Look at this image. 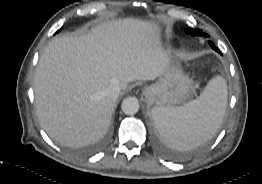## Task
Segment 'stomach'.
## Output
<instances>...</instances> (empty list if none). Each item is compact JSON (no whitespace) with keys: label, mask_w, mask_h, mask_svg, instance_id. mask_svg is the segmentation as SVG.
I'll list each match as a JSON object with an SVG mask.
<instances>
[{"label":"stomach","mask_w":262,"mask_h":184,"mask_svg":"<svg viewBox=\"0 0 262 184\" xmlns=\"http://www.w3.org/2000/svg\"><path fill=\"white\" fill-rule=\"evenodd\" d=\"M192 92L193 81L179 66L170 65L156 83L143 90V96L156 106L175 107L189 100Z\"/></svg>","instance_id":"stomach-1"}]
</instances>
